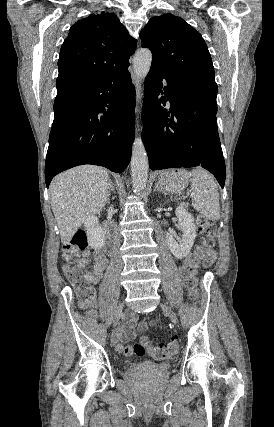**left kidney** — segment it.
<instances>
[{
  "mask_svg": "<svg viewBox=\"0 0 274 427\" xmlns=\"http://www.w3.org/2000/svg\"><path fill=\"white\" fill-rule=\"evenodd\" d=\"M175 214L179 217V227H181L183 231L182 239H178L177 241L174 231H167V245L174 257L183 259L192 249L196 237V227L193 215L188 214L187 210H184V208H180L179 206V208H176Z\"/></svg>",
  "mask_w": 274,
  "mask_h": 427,
  "instance_id": "left-kidney-1",
  "label": "left kidney"
}]
</instances>
